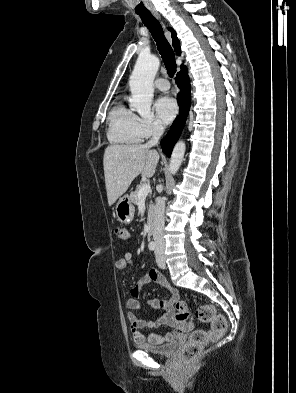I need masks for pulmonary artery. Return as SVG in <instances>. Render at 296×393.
<instances>
[{
	"label": "pulmonary artery",
	"instance_id": "e3ab8cb5",
	"mask_svg": "<svg viewBox=\"0 0 296 393\" xmlns=\"http://www.w3.org/2000/svg\"><path fill=\"white\" fill-rule=\"evenodd\" d=\"M155 87H156L157 89H159L160 91L166 92V91H168L169 88H170V83H169V81H168L167 79H165V78H158V79L155 81Z\"/></svg>",
	"mask_w": 296,
	"mask_h": 393
}]
</instances>
